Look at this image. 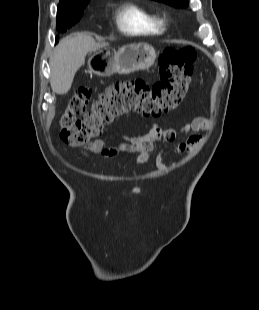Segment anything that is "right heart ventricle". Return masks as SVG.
Wrapping results in <instances>:
<instances>
[{"label":"right heart ventricle","mask_w":259,"mask_h":310,"mask_svg":"<svg viewBox=\"0 0 259 310\" xmlns=\"http://www.w3.org/2000/svg\"><path fill=\"white\" fill-rule=\"evenodd\" d=\"M115 20L118 28L128 35H158L165 29L157 15L133 2L122 4Z\"/></svg>","instance_id":"obj_1"}]
</instances>
